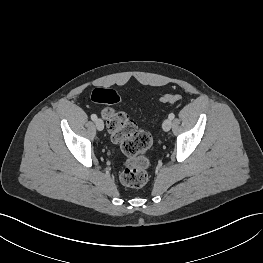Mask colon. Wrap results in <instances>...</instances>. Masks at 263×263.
I'll list each match as a JSON object with an SVG mask.
<instances>
[{
	"label": "colon",
	"instance_id": "colon-1",
	"mask_svg": "<svg viewBox=\"0 0 263 263\" xmlns=\"http://www.w3.org/2000/svg\"><path fill=\"white\" fill-rule=\"evenodd\" d=\"M181 99L178 94L164 95L162 103H175ZM94 103L102 105V117L114 143L120 146L127 157L120 172L121 182L131 188H140L148 181L149 160L145 152L152 144L151 135L139 129L128 114L115 111L111 106L120 101L118 93L109 88H96L92 93Z\"/></svg>",
	"mask_w": 263,
	"mask_h": 263
}]
</instances>
